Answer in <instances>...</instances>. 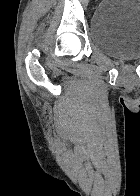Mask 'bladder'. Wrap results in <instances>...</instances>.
Returning <instances> with one entry per match:
<instances>
[{
	"label": "bladder",
	"mask_w": 140,
	"mask_h": 196,
	"mask_svg": "<svg viewBox=\"0 0 140 196\" xmlns=\"http://www.w3.org/2000/svg\"><path fill=\"white\" fill-rule=\"evenodd\" d=\"M92 45L122 59L140 58V0H102L90 20Z\"/></svg>",
	"instance_id": "1"
}]
</instances>
